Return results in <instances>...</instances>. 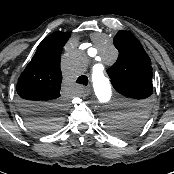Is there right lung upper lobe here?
<instances>
[{
	"mask_svg": "<svg viewBox=\"0 0 174 174\" xmlns=\"http://www.w3.org/2000/svg\"><path fill=\"white\" fill-rule=\"evenodd\" d=\"M69 37L70 33L55 32L39 44L31 62L18 79L19 100L44 104L60 103V55Z\"/></svg>",
	"mask_w": 174,
	"mask_h": 174,
	"instance_id": "obj_1",
	"label": "right lung upper lobe"
}]
</instances>
